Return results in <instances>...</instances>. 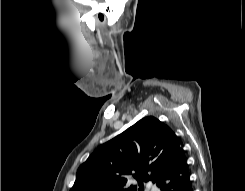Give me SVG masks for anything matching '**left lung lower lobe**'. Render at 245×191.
Instances as JSON below:
<instances>
[{"mask_svg":"<svg viewBox=\"0 0 245 191\" xmlns=\"http://www.w3.org/2000/svg\"><path fill=\"white\" fill-rule=\"evenodd\" d=\"M160 191H193L189 165L182 149L171 166L156 181Z\"/></svg>","mask_w":245,"mask_h":191,"instance_id":"left-lung-lower-lobe-1","label":"left lung lower lobe"}]
</instances>
